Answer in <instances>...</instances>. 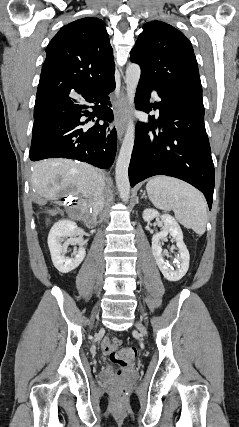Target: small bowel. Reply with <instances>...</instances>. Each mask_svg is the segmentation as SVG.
I'll return each instance as SVG.
<instances>
[{"mask_svg": "<svg viewBox=\"0 0 239 427\" xmlns=\"http://www.w3.org/2000/svg\"><path fill=\"white\" fill-rule=\"evenodd\" d=\"M119 345H120V340L117 338L110 339L107 337L102 341V349L105 353L110 352L111 350H113Z\"/></svg>", "mask_w": 239, "mask_h": 427, "instance_id": "1", "label": "small bowel"}]
</instances>
